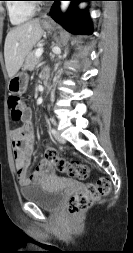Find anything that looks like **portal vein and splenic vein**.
<instances>
[{
	"label": "portal vein and splenic vein",
	"instance_id": "1",
	"mask_svg": "<svg viewBox=\"0 0 133 253\" xmlns=\"http://www.w3.org/2000/svg\"><path fill=\"white\" fill-rule=\"evenodd\" d=\"M43 53V48H38L35 52V56L36 57H40Z\"/></svg>",
	"mask_w": 133,
	"mask_h": 253
}]
</instances>
